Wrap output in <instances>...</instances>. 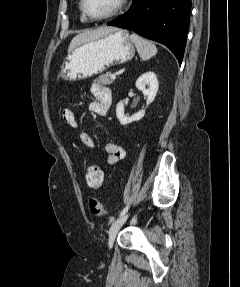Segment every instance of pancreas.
Segmentation results:
<instances>
[{
    "label": "pancreas",
    "mask_w": 240,
    "mask_h": 287,
    "mask_svg": "<svg viewBox=\"0 0 240 287\" xmlns=\"http://www.w3.org/2000/svg\"><path fill=\"white\" fill-rule=\"evenodd\" d=\"M114 79L111 78V73L107 72L106 74L98 77V82L105 84V85H110L112 84Z\"/></svg>",
    "instance_id": "cf45deb5"
}]
</instances>
